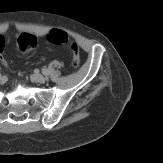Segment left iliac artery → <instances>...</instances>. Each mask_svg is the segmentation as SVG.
I'll use <instances>...</instances> for the list:
<instances>
[{
  "label": "left iliac artery",
  "instance_id": "obj_1",
  "mask_svg": "<svg viewBox=\"0 0 163 163\" xmlns=\"http://www.w3.org/2000/svg\"><path fill=\"white\" fill-rule=\"evenodd\" d=\"M42 73H43L44 75H46V76L49 75V72H48L47 69H43V70H42Z\"/></svg>",
  "mask_w": 163,
  "mask_h": 163
}]
</instances>
